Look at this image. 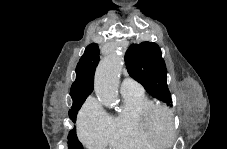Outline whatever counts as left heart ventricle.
<instances>
[{"label": "left heart ventricle", "instance_id": "left-heart-ventricle-1", "mask_svg": "<svg viewBox=\"0 0 227 149\" xmlns=\"http://www.w3.org/2000/svg\"><path fill=\"white\" fill-rule=\"evenodd\" d=\"M153 132L160 141H166L169 135L168 122L163 113H157L152 121Z\"/></svg>", "mask_w": 227, "mask_h": 149}]
</instances>
